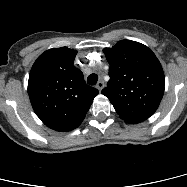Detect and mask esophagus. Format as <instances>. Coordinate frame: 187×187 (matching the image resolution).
<instances>
[{"label": "esophagus", "mask_w": 187, "mask_h": 187, "mask_svg": "<svg viewBox=\"0 0 187 187\" xmlns=\"http://www.w3.org/2000/svg\"><path fill=\"white\" fill-rule=\"evenodd\" d=\"M105 87V84L102 80H100L97 84H96V88L101 91L103 88Z\"/></svg>", "instance_id": "obj_1"}]
</instances>
